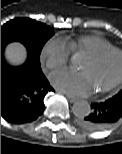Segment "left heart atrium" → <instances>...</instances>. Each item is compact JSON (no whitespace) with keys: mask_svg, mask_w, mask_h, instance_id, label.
<instances>
[{"mask_svg":"<svg viewBox=\"0 0 122 154\" xmlns=\"http://www.w3.org/2000/svg\"><path fill=\"white\" fill-rule=\"evenodd\" d=\"M52 84L59 90L74 96H88L94 88L86 72L62 69L50 76Z\"/></svg>","mask_w":122,"mask_h":154,"instance_id":"obj_1","label":"left heart atrium"}]
</instances>
